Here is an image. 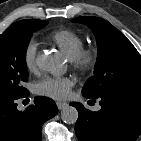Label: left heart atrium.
<instances>
[{
    "instance_id": "39dd6f15",
    "label": "left heart atrium",
    "mask_w": 141,
    "mask_h": 141,
    "mask_svg": "<svg viewBox=\"0 0 141 141\" xmlns=\"http://www.w3.org/2000/svg\"><path fill=\"white\" fill-rule=\"evenodd\" d=\"M73 82L69 78H55L45 76L34 84V91L38 95L61 100L70 95Z\"/></svg>"
}]
</instances>
